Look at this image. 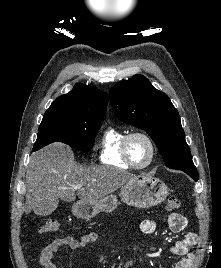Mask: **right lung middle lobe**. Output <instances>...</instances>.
Segmentation results:
<instances>
[{
    "mask_svg": "<svg viewBox=\"0 0 221 268\" xmlns=\"http://www.w3.org/2000/svg\"><path fill=\"white\" fill-rule=\"evenodd\" d=\"M100 127L101 121L84 120L58 112L45 113L33 151L57 141L88 152Z\"/></svg>",
    "mask_w": 221,
    "mask_h": 268,
    "instance_id": "1",
    "label": "right lung middle lobe"
}]
</instances>
